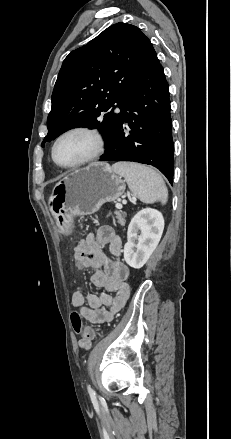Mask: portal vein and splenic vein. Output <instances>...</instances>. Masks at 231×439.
Instances as JSON below:
<instances>
[{"label":"portal vein and splenic vein","mask_w":231,"mask_h":439,"mask_svg":"<svg viewBox=\"0 0 231 439\" xmlns=\"http://www.w3.org/2000/svg\"><path fill=\"white\" fill-rule=\"evenodd\" d=\"M116 208L121 209L122 205L121 204H116Z\"/></svg>","instance_id":"18ae733b"}]
</instances>
